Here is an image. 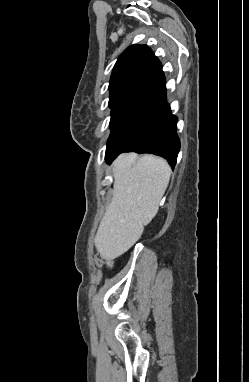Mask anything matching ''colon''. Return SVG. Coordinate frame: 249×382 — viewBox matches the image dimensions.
Wrapping results in <instances>:
<instances>
[{
    "instance_id": "obj_1",
    "label": "colon",
    "mask_w": 249,
    "mask_h": 382,
    "mask_svg": "<svg viewBox=\"0 0 249 382\" xmlns=\"http://www.w3.org/2000/svg\"><path fill=\"white\" fill-rule=\"evenodd\" d=\"M99 263L100 264H106L107 266H111V260L105 256L99 257Z\"/></svg>"
}]
</instances>
